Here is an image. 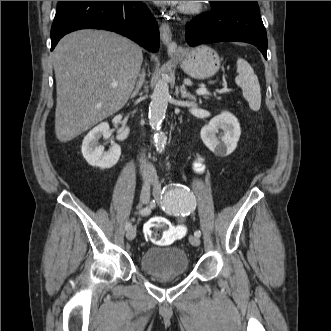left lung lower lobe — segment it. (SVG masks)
I'll use <instances>...</instances> for the list:
<instances>
[{
	"label": "left lung lower lobe",
	"mask_w": 331,
	"mask_h": 331,
	"mask_svg": "<svg viewBox=\"0 0 331 331\" xmlns=\"http://www.w3.org/2000/svg\"><path fill=\"white\" fill-rule=\"evenodd\" d=\"M186 26L190 46L220 41L253 44L267 59V35L257 1H219Z\"/></svg>",
	"instance_id": "obj_1"
}]
</instances>
